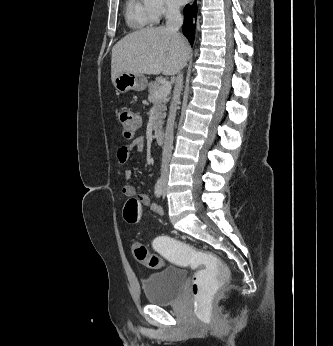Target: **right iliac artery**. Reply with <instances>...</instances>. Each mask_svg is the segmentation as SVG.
<instances>
[{"label": "right iliac artery", "instance_id": "right-iliac-artery-1", "mask_svg": "<svg viewBox=\"0 0 333 346\" xmlns=\"http://www.w3.org/2000/svg\"><path fill=\"white\" fill-rule=\"evenodd\" d=\"M163 193V180L162 178H159L155 184V195L156 197H161Z\"/></svg>", "mask_w": 333, "mask_h": 346}]
</instances>
